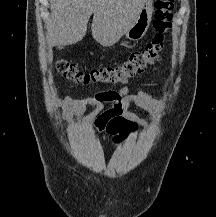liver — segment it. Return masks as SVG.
I'll return each mask as SVG.
<instances>
[{
    "label": "liver",
    "instance_id": "1",
    "mask_svg": "<svg viewBox=\"0 0 216 217\" xmlns=\"http://www.w3.org/2000/svg\"><path fill=\"white\" fill-rule=\"evenodd\" d=\"M145 0H50L47 26L49 46L81 41L93 14L92 36L105 47L113 46L137 17Z\"/></svg>",
    "mask_w": 216,
    "mask_h": 217
}]
</instances>
